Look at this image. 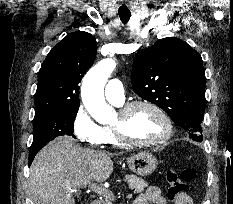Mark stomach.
Segmentation results:
<instances>
[{
	"instance_id": "1",
	"label": "stomach",
	"mask_w": 233,
	"mask_h": 204,
	"mask_svg": "<svg viewBox=\"0 0 233 204\" xmlns=\"http://www.w3.org/2000/svg\"><path fill=\"white\" fill-rule=\"evenodd\" d=\"M129 169L139 176L153 173L158 165L156 157L149 152H140L127 159Z\"/></svg>"
}]
</instances>
